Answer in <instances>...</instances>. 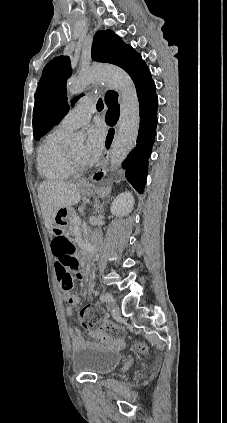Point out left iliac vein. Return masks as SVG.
Returning a JSON list of instances; mask_svg holds the SVG:
<instances>
[{"label":"left iliac vein","mask_w":227,"mask_h":423,"mask_svg":"<svg viewBox=\"0 0 227 423\" xmlns=\"http://www.w3.org/2000/svg\"><path fill=\"white\" fill-rule=\"evenodd\" d=\"M111 312L114 318L120 317V308L113 303H111Z\"/></svg>","instance_id":"left-iliac-vein-1"}]
</instances>
